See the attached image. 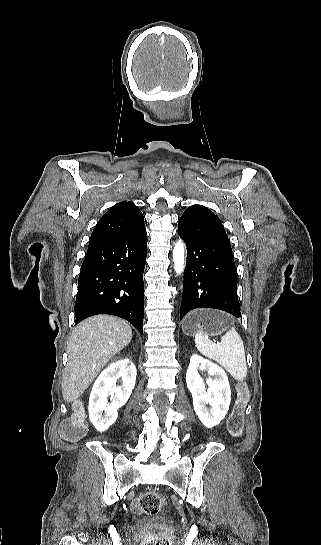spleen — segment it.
<instances>
[{
	"mask_svg": "<svg viewBox=\"0 0 321 545\" xmlns=\"http://www.w3.org/2000/svg\"><path fill=\"white\" fill-rule=\"evenodd\" d=\"M195 345L204 357L213 359L230 373L235 381H244L247 377V365L243 341L234 327L221 337V343L205 339L200 331L195 335Z\"/></svg>",
	"mask_w": 321,
	"mask_h": 545,
	"instance_id": "1",
	"label": "spleen"
}]
</instances>
